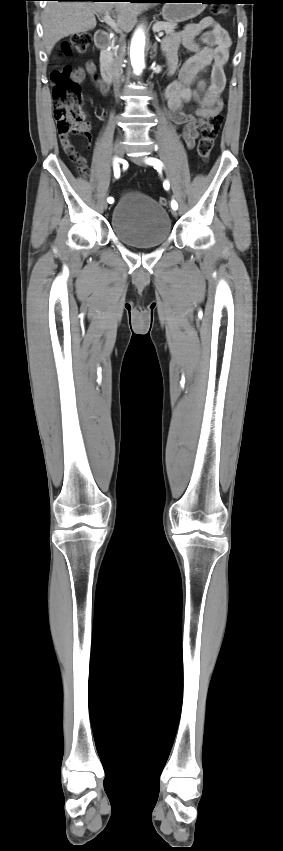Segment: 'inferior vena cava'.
Returning a JSON list of instances; mask_svg holds the SVG:
<instances>
[{
    "label": "inferior vena cava",
    "instance_id": "obj_1",
    "mask_svg": "<svg viewBox=\"0 0 283 851\" xmlns=\"http://www.w3.org/2000/svg\"><path fill=\"white\" fill-rule=\"evenodd\" d=\"M113 83L115 93L119 91L121 80H122V63L118 60L115 61L112 69Z\"/></svg>",
    "mask_w": 283,
    "mask_h": 851
}]
</instances>
